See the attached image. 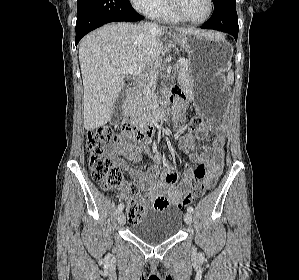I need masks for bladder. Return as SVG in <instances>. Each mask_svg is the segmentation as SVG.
<instances>
[{"label": "bladder", "mask_w": 299, "mask_h": 280, "mask_svg": "<svg viewBox=\"0 0 299 280\" xmlns=\"http://www.w3.org/2000/svg\"><path fill=\"white\" fill-rule=\"evenodd\" d=\"M182 226V214L174 208H153L139 221L132 223L131 233L148 244L173 238Z\"/></svg>", "instance_id": "bladder-1"}]
</instances>
